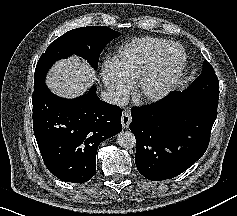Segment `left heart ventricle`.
Wrapping results in <instances>:
<instances>
[{"label": "left heart ventricle", "instance_id": "b2bd125f", "mask_svg": "<svg viewBox=\"0 0 237 216\" xmlns=\"http://www.w3.org/2000/svg\"><path fill=\"white\" fill-rule=\"evenodd\" d=\"M182 57L178 49L170 55L161 58L152 74L145 82L147 92L156 91L161 86L171 82L177 75Z\"/></svg>", "mask_w": 237, "mask_h": 216}]
</instances>
